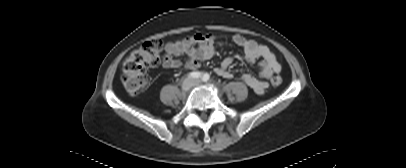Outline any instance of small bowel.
Listing matches in <instances>:
<instances>
[{
    "label": "small bowel",
    "instance_id": "c3829d8e",
    "mask_svg": "<svg viewBox=\"0 0 406 168\" xmlns=\"http://www.w3.org/2000/svg\"><path fill=\"white\" fill-rule=\"evenodd\" d=\"M216 39L217 35L215 34H196L178 41L168 42L165 45V54L162 58L163 67L173 69L184 65L189 69L198 68L200 61L211 59L214 56L216 51ZM231 40L234 44L242 48L244 59L247 63L258 61L260 68L259 77L243 74L241 81L249 86L255 93L262 95L268 86L267 80H269L274 73L280 72L281 65L277 61L274 53L266 45L247 39L240 34L232 35ZM180 56L185 57L184 62L179 59ZM232 62L233 58L231 56L224 58L221 65L216 68V73L223 78H231L232 73L229 67Z\"/></svg>",
    "mask_w": 406,
    "mask_h": 168
}]
</instances>
